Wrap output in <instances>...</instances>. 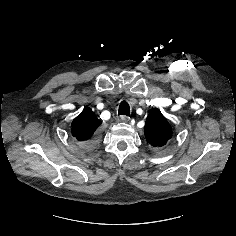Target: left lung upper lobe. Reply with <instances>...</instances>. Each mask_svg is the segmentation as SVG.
<instances>
[{"instance_id":"obj_1","label":"left lung upper lobe","mask_w":236,"mask_h":236,"mask_svg":"<svg viewBox=\"0 0 236 236\" xmlns=\"http://www.w3.org/2000/svg\"><path fill=\"white\" fill-rule=\"evenodd\" d=\"M144 132L147 142L154 147L165 145L172 137V128L169 122L156 108L149 113Z\"/></svg>"}]
</instances>
